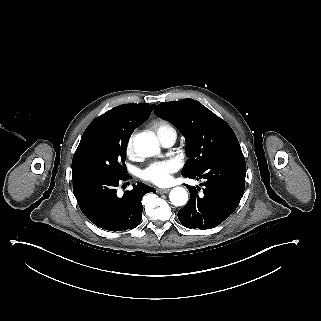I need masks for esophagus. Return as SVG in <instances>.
<instances>
[{
    "mask_svg": "<svg viewBox=\"0 0 321 321\" xmlns=\"http://www.w3.org/2000/svg\"><path fill=\"white\" fill-rule=\"evenodd\" d=\"M170 191V188H157V193L159 194H165Z\"/></svg>",
    "mask_w": 321,
    "mask_h": 321,
    "instance_id": "34e87169",
    "label": "esophagus"
}]
</instances>
